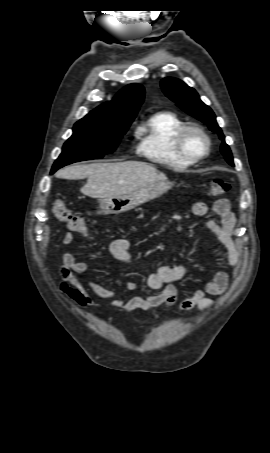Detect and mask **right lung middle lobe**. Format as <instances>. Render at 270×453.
<instances>
[{"label": "right lung middle lobe", "instance_id": "1", "mask_svg": "<svg viewBox=\"0 0 270 453\" xmlns=\"http://www.w3.org/2000/svg\"><path fill=\"white\" fill-rule=\"evenodd\" d=\"M128 127L81 119L74 125L73 135L65 142L51 173L73 162L99 159L112 153Z\"/></svg>", "mask_w": 270, "mask_h": 453}]
</instances>
